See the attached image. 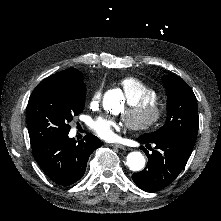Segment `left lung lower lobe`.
<instances>
[{
  "label": "left lung lower lobe",
  "mask_w": 221,
  "mask_h": 221,
  "mask_svg": "<svg viewBox=\"0 0 221 221\" xmlns=\"http://www.w3.org/2000/svg\"><path fill=\"white\" fill-rule=\"evenodd\" d=\"M137 141L146 144L140 146L148 156L146 168L132 175L135 184L146 192H156L168 186L183 170L193 148L172 137L147 138L140 136ZM155 144V149L151 148Z\"/></svg>",
  "instance_id": "1"
}]
</instances>
